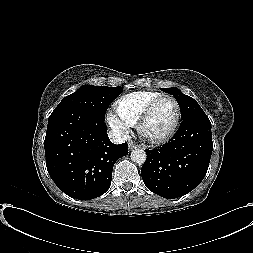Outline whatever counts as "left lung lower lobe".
Here are the masks:
<instances>
[{"label": "left lung lower lobe", "mask_w": 253, "mask_h": 253, "mask_svg": "<svg viewBox=\"0 0 253 253\" xmlns=\"http://www.w3.org/2000/svg\"><path fill=\"white\" fill-rule=\"evenodd\" d=\"M212 150L211 122L207 115L183 120L168 143L146 150L147 160L141 168L145 186L168 199L189 193L205 177Z\"/></svg>", "instance_id": "left-lung-lower-lobe-1"}]
</instances>
